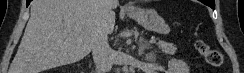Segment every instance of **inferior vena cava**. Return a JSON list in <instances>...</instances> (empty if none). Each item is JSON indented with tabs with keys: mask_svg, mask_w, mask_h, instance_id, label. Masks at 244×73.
I'll use <instances>...</instances> for the list:
<instances>
[{
	"mask_svg": "<svg viewBox=\"0 0 244 73\" xmlns=\"http://www.w3.org/2000/svg\"><path fill=\"white\" fill-rule=\"evenodd\" d=\"M93 59L101 73H108L113 65L112 49L107 34H101L92 48Z\"/></svg>",
	"mask_w": 244,
	"mask_h": 73,
	"instance_id": "1",
	"label": "inferior vena cava"
}]
</instances>
